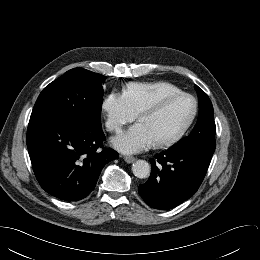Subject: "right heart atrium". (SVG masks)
<instances>
[{
  "instance_id": "obj_1",
  "label": "right heart atrium",
  "mask_w": 260,
  "mask_h": 260,
  "mask_svg": "<svg viewBox=\"0 0 260 260\" xmlns=\"http://www.w3.org/2000/svg\"><path fill=\"white\" fill-rule=\"evenodd\" d=\"M102 113L107 129L114 133H120L136 116L125 97L117 92H111L106 96L102 103Z\"/></svg>"
}]
</instances>
